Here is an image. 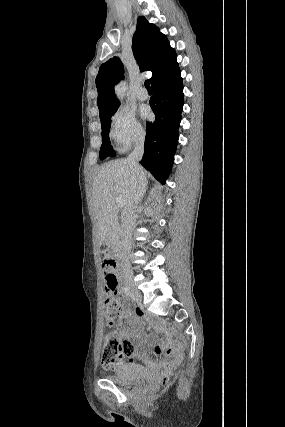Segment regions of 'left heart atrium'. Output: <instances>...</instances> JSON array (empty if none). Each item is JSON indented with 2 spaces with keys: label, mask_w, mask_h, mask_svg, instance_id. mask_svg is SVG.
<instances>
[{
  "label": "left heart atrium",
  "mask_w": 285,
  "mask_h": 427,
  "mask_svg": "<svg viewBox=\"0 0 285 427\" xmlns=\"http://www.w3.org/2000/svg\"><path fill=\"white\" fill-rule=\"evenodd\" d=\"M143 115H144V116H147V115H148V111H144V112H143Z\"/></svg>",
  "instance_id": "left-heart-atrium-1"
}]
</instances>
